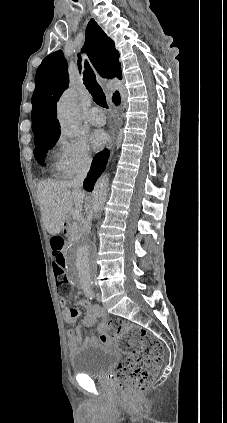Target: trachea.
Returning <instances> with one entry per match:
<instances>
[{
  "mask_svg": "<svg viewBox=\"0 0 227 423\" xmlns=\"http://www.w3.org/2000/svg\"><path fill=\"white\" fill-rule=\"evenodd\" d=\"M83 81L87 90L92 95L94 102H96L100 107L108 108L105 93L98 84L95 73L87 61L85 62Z\"/></svg>",
  "mask_w": 227,
  "mask_h": 423,
  "instance_id": "trachea-1",
  "label": "trachea"
}]
</instances>
